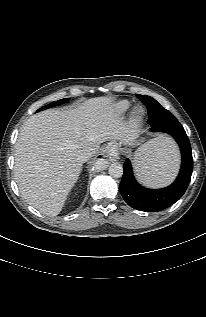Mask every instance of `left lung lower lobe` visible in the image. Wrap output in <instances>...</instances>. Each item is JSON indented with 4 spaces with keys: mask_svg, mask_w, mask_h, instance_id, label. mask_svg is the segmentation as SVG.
Returning <instances> with one entry per match:
<instances>
[{
    "mask_svg": "<svg viewBox=\"0 0 206 317\" xmlns=\"http://www.w3.org/2000/svg\"><path fill=\"white\" fill-rule=\"evenodd\" d=\"M153 106L155 111L168 112L159 105ZM161 132L171 135L179 145L182 155L181 169L177 179L170 186L163 189H147L136 182L130 160L126 159L120 182V193L129 206L140 211L158 212L171 206L185 193L191 179L193 158L186 132L178 128H167Z\"/></svg>",
    "mask_w": 206,
    "mask_h": 317,
    "instance_id": "0a47b994",
    "label": "left lung lower lobe"
}]
</instances>
